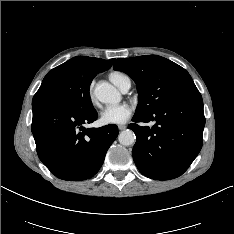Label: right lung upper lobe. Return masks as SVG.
<instances>
[{
  "label": "right lung upper lobe",
  "instance_id": "cb5924a9",
  "mask_svg": "<svg viewBox=\"0 0 234 234\" xmlns=\"http://www.w3.org/2000/svg\"><path fill=\"white\" fill-rule=\"evenodd\" d=\"M70 61L85 73L98 74L111 68L114 59L107 61L100 58L77 56Z\"/></svg>",
  "mask_w": 234,
  "mask_h": 234
}]
</instances>
